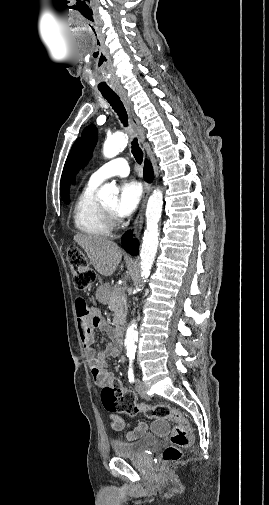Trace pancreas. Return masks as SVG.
I'll use <instances>...</instances> for the list:
<instances>
[{
	"label": "pancreas",
	"instance_id": "1",
	"mask_svg": "<svg viewBox=\"0 0 269 505\" xmlns=\"http://www.w3.org/2000/svg\"><path fill=\"white\" fill-rule=\"evenodd\" d=\"M108 306L114 312V325H122L126 319L127 304L125 292L121 287L112 288L109 295Z\"/></svg>",
	"mask_w": 269,
	"mask_h": 505
}]
</instances>
